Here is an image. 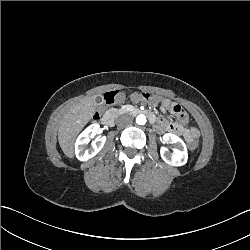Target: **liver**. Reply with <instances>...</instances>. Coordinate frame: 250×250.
Returning a JSON list of instances; mask_svg holds the SVG:
<instances>
[{
  "label": "liver",
  "mask_w": 250,
  "mask_h": 250,
  "mask_svg": "<svg viewBox=\"0 0 250 250\" xmlns=\"http://www.w3.org/2000/svg\"><path fill=\"white\" fill-rule=\"evenodd\" d=\"M96 105L95 97H84L64 115L58 129V141L67 157H74L76 136L93 117Z\"/></svg>",
  "instance_id": "1"
}]
</instances>
